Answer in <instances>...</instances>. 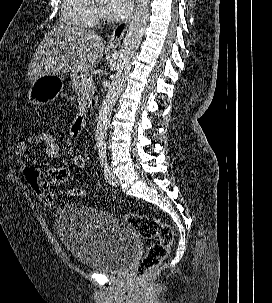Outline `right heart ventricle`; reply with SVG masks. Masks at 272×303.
<instances>
[{"mask_svg": "<svg viewBox=\"0 0 272 303\" xmlns=\"http://www.w3.org/2000/svg\"><path fill=\"white\" fill-rule=\"evenodd\" d=\"M92 0H62L61 21L70 26L87 27L94 23Z\"/></svg>", "mask_w": 272, "mask_h": 303, "instance_id": "right-heart-ventricle-1", "label": "right heart ventricle"}]
</instances>
